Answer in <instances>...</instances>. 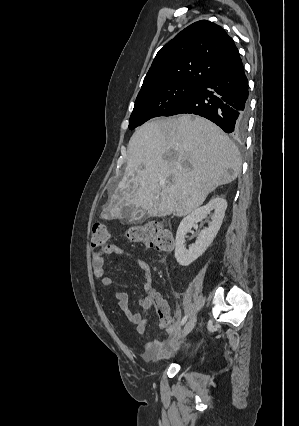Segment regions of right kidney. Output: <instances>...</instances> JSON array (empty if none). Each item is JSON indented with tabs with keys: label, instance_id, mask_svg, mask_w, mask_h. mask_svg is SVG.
<instances>
[{
	"label": "right kidney",
	"instance_id": "1",
	"mask_svg": "<svg viewBox=\"0 0 299 426\" xmlns=\"http://www.w3.org/2000/svg\"><path fill=\"white\" fill-rule=\"evenodd\" d=\"M227 201L217 196L212 198L206 205L197 208L187 215L180 223L175 240V258L181 266H188L199 258L213 242L225 216ZM213 212L212 221L208 228H204L196 242L189 249L185 247V236L195 223L203 220L207 214Z\"/></svg>",
	"mask_w": 299,
	"mask_h": 426
}]
</instances>
